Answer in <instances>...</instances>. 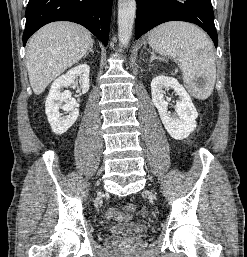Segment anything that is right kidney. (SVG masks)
<instances>
[{
	"label": "right kidney",
	"instance_id": "obj_1",
	"mask_svg": "<svg viewBox=\"0 0 247 257\" xmlns=\"http://www.w3.org/2000/svg\"><path fill=\"white\" fill-rule=\"evenodd\" d=\"M89 72L90 67L87 64H80L55 79L52 83L45 102V112L55 134L61 135L65 133L79 116V101L77 102L71 97L69 90L61 92L62 89L77 83L79 80L82 93H86L90 87ZM63 102L65 104H62ZM59 109H63L69 114L65 117H60Z\"/></svg>",
	"mask_w": 247,
	"mask_h": 257
}]
</instances>
